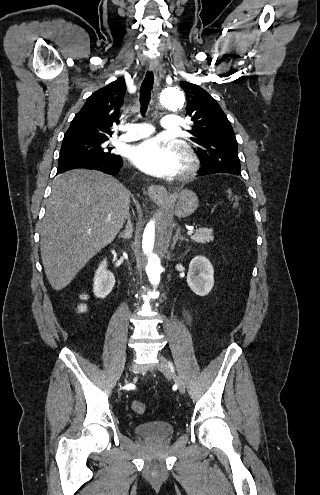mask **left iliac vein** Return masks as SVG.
Instances as JSON below:
<instances>
[{
  "instance_id": "left-iliac-vein-1",
  "label": "left iliac vein",
  "mask_w": 320,
  "mask_h": 495,
  "mask_svg": "<svg viewBox=\"0 0 320 495\" xmlns=\"http://www.w3.org/2000/svg\"><path fill=\"white\" fill-rule=\"evenodd\" d=\"M159 363H158V369L165 375L167 376H170L175 384L177 385L178 387V390L180 391V393H185L186 391V387H185V383L183 382V380L181 379V377H179L178 375H176L170 368L167 360L159 355Z\"/></svg>"
}]
</instances>
